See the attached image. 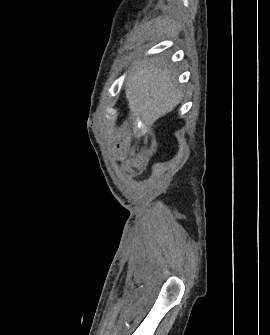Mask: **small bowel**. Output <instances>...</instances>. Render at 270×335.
Wrapping results in <instances>:
<instances>
[{"label":"small bowel","instance_id":"c3829d8e","mask_svg":"<svg viewBox=\"0 0 270 335\" xmlns=\"http://www.w3.org/2000/svg\"><path fill=\"white\" fill-rule=\"evenodd\" d=\"M123 143L127 144L128 140L126 136L122 137ZM136 141L140 140L139 136L135 137ZM110 159L112 158L111 156L109 157ZM118 165H143V158H118L117 160ZM122 177L123 178H130L131 177V172L130 171H123L122 172Z\"/></svg>","mask_w":270,"mask_h":335}]
</instances>
